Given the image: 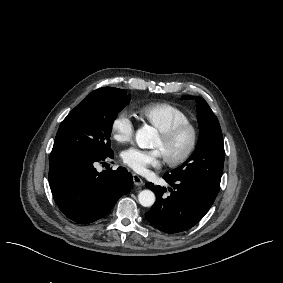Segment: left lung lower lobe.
I'll return each mask as SVG.
<instances>
[{"label":"left lung lower lobe","mask_w":283,"mask_h":283,"mask_svg":"<svg viewBox=\"0 0 283 283\" xmlns=\"http://www.w3.org/2000/svg\"><path fill=\"white\" fill-rule=\"evenodd\" d=\"M163 179L171 186L168 189L170 194H164L165 187L146 183L154 191L156 202L145 213V218L166 233H178L193 227L208 212L217 196L196 181L173 180L167 174Z\"/></svg>","instance_id":"0a47b994"}]
</instances>
